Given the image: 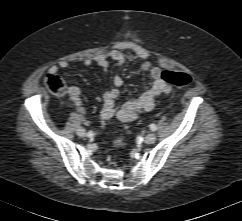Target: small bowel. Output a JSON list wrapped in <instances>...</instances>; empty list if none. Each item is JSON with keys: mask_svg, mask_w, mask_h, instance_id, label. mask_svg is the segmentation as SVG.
<instances>
[{"mask_svg": "<svg viewBox=\"0 0 242 221\" xmlns=\"http://www.w3.org/2000/svg\"><path fill=\"white\" fill-rule=\"evenodd\" d=\"M125 52H129L141 59L140 68L143 71L149 72L152 79L151 86L138 97L126 101L120 107L116 106V99L119 96L120 88L123 85V80L120 76L113 78V87L108 89L103 94V107L101 110V118L105 121L116 118L120 121H133L140 114L152 110L156 105V98L160 95H166L171 92V86L161 79L162 70L158 67H153L149 60L150 54L146 48L136 42L124 41L119 43L115 48L107 53L100 54L94 59L86 58L82 61L85 67L90 66L93 62L107 71L110 66V61H114L117 66H121L125 62ZM69 68V63L65 60L60 61L57 65L50 67V72H57L59 69ZM69 94L73 100L76 110L82 119H86V111L82 103L81 90L78 86H71Z\"/></svg>", "mask_w": 242, "mask_h": 221, "instance_id": "obj_1", "label": "small bowel"}]
</instances>
